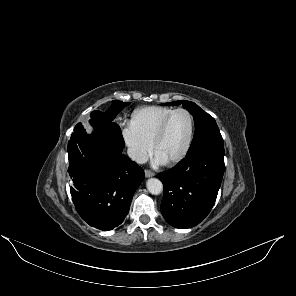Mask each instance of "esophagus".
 Returning <instances> with one entry per match:
<instances>
[{"label":"esophagus","mask_w":296,"mask_h":296,"mask_svg":"<svg viewBox=\"0 0 296 296\" xmlns=\"http://www.w3.org/2000/svg\"><path fill=\"white\" fill-rule=\"evenodd\" d=\"M144 172H145V176H146L147 178L155 176V173L152 172V171H150V170H148V169L145 170Z\"/></svg>","instance_id":"esophagus-1"}]
</instances>
